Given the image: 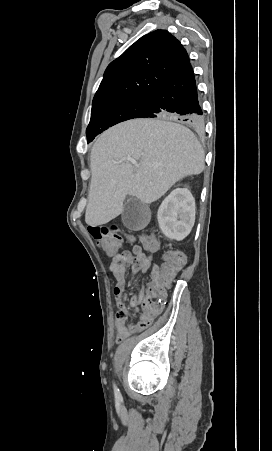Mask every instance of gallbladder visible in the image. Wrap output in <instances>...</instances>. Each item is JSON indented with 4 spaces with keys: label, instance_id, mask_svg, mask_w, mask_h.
<instances>
[{
    "label": "gallbladder",
    "instance_id": "1",
    "mask_svg": "<svg viewBox=\"0 0 272 451\" xmlns=\"http://www.w3.org/2000/svg\"><path fill=\"white\" fill-rule=\"evenodd\" d=\"M122 222L129 229H142L149 222V208L138 198H129L124 204Z\"/></svg>",
    "mask_w": 272,
    "mask_h": 451
}]
</instances>
